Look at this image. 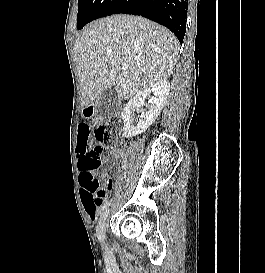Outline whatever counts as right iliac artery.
Instances as JSON below:
<instances>
[{
    "label": "right iliac artery",
    "mask_w": 265,
    "mask_h": 273,
    "mask_svg": "<svg viewBox=\"0 0 265 273\" xmlns=\"http://www.w3.org/2000/svg\"><path fill=\"white\" fill-rule=\"evenodd\" d=\"M111 201H112V200H111ZM111 201H105V202L103 203V205L101 206V208H100V212H103L105 209H107V208L110 206Z\"/></svg>",
    "instance_id": "1"
}]
</instances>
